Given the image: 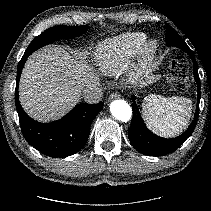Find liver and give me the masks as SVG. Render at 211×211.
Instances as JSON below:
<instances>
[{
	"instance_id": "liver-1",
	"label": "liver",
	"mask_w": 211,
	"mask_h": 211,
	"mask_svg": "<svg viewBox=\"0 0 211 211\" xmlns=\"http://www.w3.org/2000/svg\"><path fill=\"white\" fill-rule=\"evenodd\" d=\"M81 54L71 56L61 46H49L29 56L20 79L23 109L39 122L57 120L80 100L88 86L100 79Z\"/></svg>"
}]
</instances>
